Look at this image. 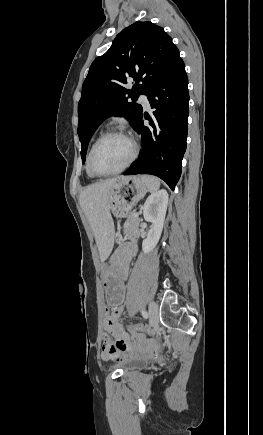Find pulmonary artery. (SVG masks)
<instances>
[{
    "label": "pulmonary artery",
    "mask_w": 263,
    "mask_h": 435,
    "mask_svg": "<svg viewBox=\"0 0 263 435\" xmlns=\"http://www.w3.org/2000/svg\"><path fill=\"white\" fill-rule=\"evenodd\" d=\"M139 100H140V102L143 104V106H144L146 109H149V108H150V102H149V99H148V97H147L145 94H142V95L140 96Z\"/></svg>",
    "instance_id": "pulmonary-artery-1"
}]
</instances>
